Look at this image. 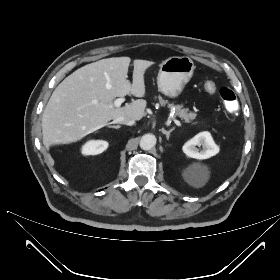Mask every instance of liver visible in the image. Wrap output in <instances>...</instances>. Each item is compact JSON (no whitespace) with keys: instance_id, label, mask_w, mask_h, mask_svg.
<instances>
[{"instance_id":"obj_1","label":"liver","mask_w":280,"mask_h":280,"mask_svg":"<svg viewBox=\"0 0 280 280\" xmlns=\"http://www.w3.org/2000/svg\"><path fill=\"white\" fill-rule=\"evenodd\" d=\"M129 57H113L87 64L66 77L53 91L42 117L43 143L51 145L76 142L123 116L135 121L145 116L147 102L133 100L114 107L116 97L145 96V71L153 65L134 60L133 82L127 79Z\"/></svg>"}]
</instances>
